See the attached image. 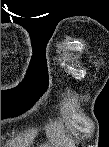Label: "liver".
Segmentation results:
<instances>
[{
    "mask_svg": "<svg viewBox=\"0 0 109 147\" xmlns=\"http://www.w3.org/2000/svg\"><path fill=\"white\" fill-rule=\"evenodd\" d=\"M43 147H47V146H43ZM56 147H59V146H56ZM60 147H67V146H65V145H62V146H60Z\"/></svg>",
    "mask_w": 109,
    "mask_h": 147,
    "instance_id": "1",
    "label": "liver"
}]
</instances>
